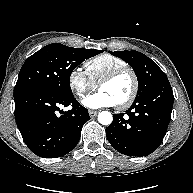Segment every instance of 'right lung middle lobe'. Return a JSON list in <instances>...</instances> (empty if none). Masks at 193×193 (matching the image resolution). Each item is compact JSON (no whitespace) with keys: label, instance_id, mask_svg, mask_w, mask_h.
<instances>
[{"label":"right lung middle lobe","instance_id":"obj_1","mask_svg":"<svg viewBox=\"0 0 193 193\" xmlns=\"http://www.w3.org/2000/svg\"><path fill=\"white\" fill-rule=\"evenodd\" d=\"M102 50L72 48L60 43L43 47L22 66L14 88V98L36 89H49L72 95L69 79L72 71L85 59Z\"/></svg>","mask_w":193,"mask_h":193}]
</instances>
